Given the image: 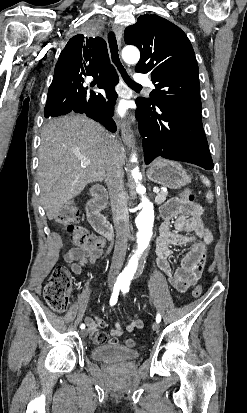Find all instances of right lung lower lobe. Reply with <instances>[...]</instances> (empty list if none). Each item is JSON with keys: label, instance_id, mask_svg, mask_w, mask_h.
Wrapping results in <instances>:
<instances>
[{"label": "right lung lower lobe", "instance_id": "obj_1", "mask_svg": "<svg viewBox=\"0 0 247 413\" xmlns=\"http://www.w3.org/2000/svg\"><path fill=\"white\" fill-rule=\"evenodd\" d=\"M100 88L105 89L106 96L110 100L108 104L101 94L87 91L84 87V76H71L59 80V83L70 84L74 90L65 97L47 99L44 116L52 118L65 115L70 112L85 113L88 117L103 124L111 132L116 131V124L112 119L114 104L117 99L115 86L119 81L118 75L97 77Z\"/></svg>", "mask_w": 247, "mask_h": 413}]
</instances>
